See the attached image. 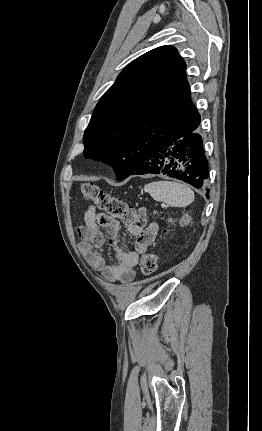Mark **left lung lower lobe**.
<instances>
[{
    "label": "left lung lower lobe",
    "instance_id": "1",
    "mask_svg": "<svg viewBox=\"0 0 262 431\" xmlns=\"http://www.w3.org/2000/svg\"><path fill=\"white\" fill-rule=\"evenodd\" d=\"M199 132L200 118L179 129L151 152L141 156L130 175L163 174L182 180L197 189H207L208 161Z\"/></svg>",
    "mask_w": 262,
    "mask_h": 431
}]
</instances>
